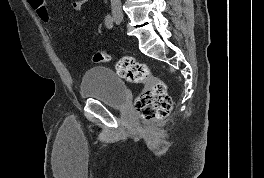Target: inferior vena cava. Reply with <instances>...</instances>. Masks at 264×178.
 Returning <instances> with one entry per match:
<instances>
[{"label":"inferior vena cava","instance_id":"602c4592","mask_svg":"<svg viewBox=\"0 0 264 178\" xmlns=\"http://www.w3.org/2000/svg\"><path fill=\"white\" fill-rule=\"evenodd\" d=\"M111 9L113 13H122L121 0H111Z\"/></svg>","mask_w":264,"mask_h":178}]
</instances>
